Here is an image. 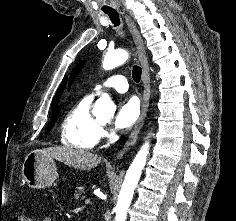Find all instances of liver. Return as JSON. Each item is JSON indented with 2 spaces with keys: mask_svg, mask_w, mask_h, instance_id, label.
Listing matches in <instances>:
<instances>
[{
  "mask_svg": "<svg viewBox=\"0 0 236 221\" xmlns=\"http://www.w3.org/2000/svg\"><path fill=\"white\" fill-rule=\"evenodd\" d=\"M42 152L78 170H90L101 163V157L97 154L72 146H54Z\"/></svg>",
  "mask_w": 236,
  "mask_h": 221,
  "instance_id": "1",
  "label": "liver"
}]
</instances>
